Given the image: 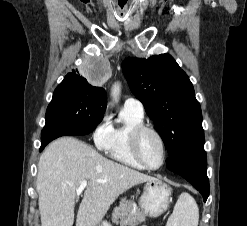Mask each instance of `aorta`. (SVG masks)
Segmentation results:
<instances>
[{"label":"aorta","mask_w":247,"mask_h":226,"mask_svg":"<svg viewBox=\"0 0 247 226\" xmlns=\"http://www.w3.org/2000/svg\"><path fill=\"white\" fill-rule=\"evenodd\" d=\"M111 94L114 100L119 99V95H120V84L119 83L114 84Z\"/></svg>","instance_id":"aorta-1"}]
</instances>
